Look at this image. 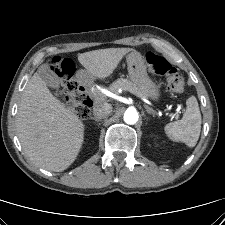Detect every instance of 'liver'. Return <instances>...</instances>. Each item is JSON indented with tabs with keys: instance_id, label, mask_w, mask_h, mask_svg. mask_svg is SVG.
<instances>
[{
	"instance_id": "liver-1",
	"label": "liver",
	"mask_w": 225,
	"mask_h": 225,
	"mask_svg": "<svg viewBox=\"0 0 225 225\" xmlns=\"http://www.w3.org/2000/svg\"><path fill=\"white\" fill-rule=\"evenodd\" d=\"M132 48H107L78 55L88 73L109 77ZM16 127L25 155L35 165L62 172L76 159L84 141L81 119L57 99L35 73L26 85L19 104Z\"/></svg>"
}]
</instances>
